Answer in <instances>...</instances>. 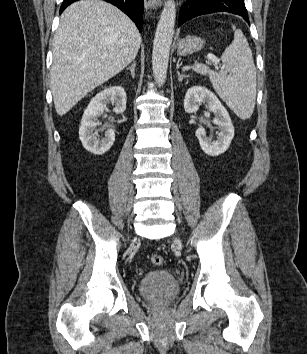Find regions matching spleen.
Instances as JSON below:
<instances>
[{
  "instance_id": "spleen-1",
  "label": "spleen",
  "mask_w": 307,
  "mask_h": 354,
  "mask_svg": "<svg viewBox=\"0 0 307 354\" xmlns=\"http://www.w3.org/2000/svg\"><path fill=\"white\" fill-rule=\"evenodd\" d=\"M233 30L234 40L221 56L224 71L215 72L202 64L193 70L208 75L220 98L240 119L247 120L255 108L256 68L246 37L234 26Z\"/></svg>"
}]
</instances>
